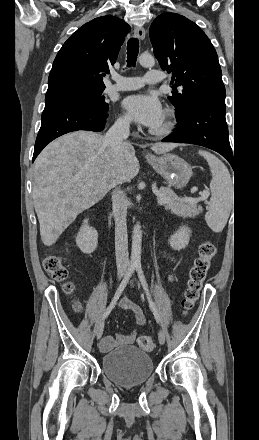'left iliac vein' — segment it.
Instances as JSON below:
<instances>
[{
  "instance_id": "4c4485c4",
  "label": "left iliac vein",
  "mask_w": 259,
  "mask_h": 440,
  "mask_svg": "<svg viewBox=\"0 0 259 440\" xmlns=\"http://www.w3.org/2000/svg\"><path fill=\"white\" fill-rule=\"evenodd\" d=\"M158 340L161 345L165 343V333L163 330H160L158 333Z\"/></svg>"
}]
</instances>
